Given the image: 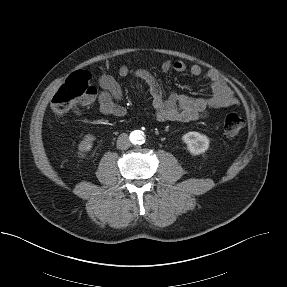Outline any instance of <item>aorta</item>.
<instances>
[{"label":"aorta","mask_w":287,"mask_h":287,"mask_svg":"<svg viewBox=\"0 0 287 287\" xmlns=\"http://www.w3.org/2000/svg\"><path fill=\"white\" fill-rule=\"evenodd\" d=\"M130 139L132 143L141 144L144 142L145 138H144V134L141 131L136 130L130 134Z\"/></svg>","instance_id":"1"}]
</instances>
